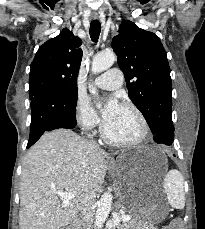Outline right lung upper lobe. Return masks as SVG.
<instances>
[{"instance_id":"right-lung-upper-lobe-1","label":"right lung upper lobe","mask_w":205,"mask_h":229,"mask_svg":"<svg viewBox=\"0 0 205 229\" xmlns=\"http://www.w3.org/2000/svg\"><path fill=\"white\" fill-rule=\"evenodd\" d=\"M81 40L64 28L57 36L41 45L31 64L29 77L30 98L49 90H66L77 85L82 59Z\"/></svg>"}]
</instances>
